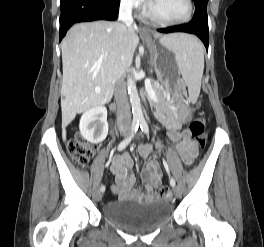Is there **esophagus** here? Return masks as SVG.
<instances>
[{
    "instance_id": "obj_1",
    "label": "esophagus",
    "mask_w": 264,
    "mask_h": 247,
    "mask_svg": "<svg viewBox=\"0 0 264 247\" xmlns=\"http://www.w3.org/2000/svg\"><path fill=\"white\" fill-rule=\"evenodd\" d=\"M142 31H143L144 33H148V32H149L146 28H142Z\"/></svg>"
}]
</instances>
